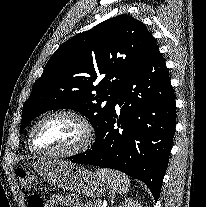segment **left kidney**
<instances>
[{"mask_svg":"<svg viewBox=\"0 0 206 207\" xmlns=\"http://www.w3.org/2000/svg\"><path fill=\"white\" fill-rule=\"evenodd\" d=\"M118 207H142V206L140 205V203L138 201L129 198V199L125 200V202H123Z\"/></svg>","mask_w":206,"mask_h":207,"instance_id":"left-kidney-1","label":"left kidney"}]
</instances>
